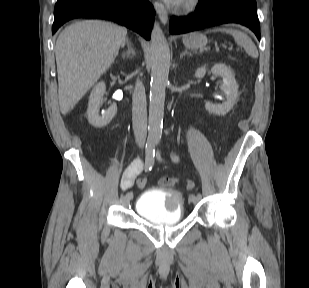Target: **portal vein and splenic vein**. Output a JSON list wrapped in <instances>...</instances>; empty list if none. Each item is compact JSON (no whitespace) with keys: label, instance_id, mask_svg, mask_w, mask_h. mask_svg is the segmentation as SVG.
<instances>
[{"label":"portal vein and splenic vein","instance_id":"1","mask_svg":"<svg viewBox=\"0 0 309 288\" xmlns=\"http://www.w3.org/2000/svg\"><path fill=\"white\" fill-rule=\"evenodd\" d=\"M228 50H232V47H229Z\"/></svg>","mask_w":309,"mask_h":288}]
</instances>
